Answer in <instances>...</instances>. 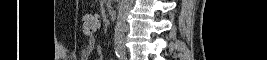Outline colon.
I'll use <instances>...</instances> for the list:
<instances>
[{
	"mask_svg": "<svg viewBox=\"0 0 267 60\" xmlns=\"http://www.w3.org/2000/svg\"><path fill=\"white\" fill-rule=\"evenodd\" d=\"M99 27L98 20L91 14H86L83 17V30L86 34L95 32Z\"/></svg>",
	"mask_w": 267,
	"mask_h": 60,
	"instance_id": "colon-1",
	"label": "colon"
}]
</instances>
